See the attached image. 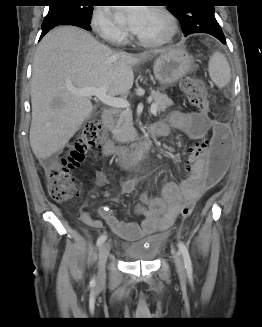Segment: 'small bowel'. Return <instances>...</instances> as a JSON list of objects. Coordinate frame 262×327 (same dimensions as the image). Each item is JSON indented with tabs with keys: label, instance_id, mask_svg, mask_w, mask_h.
Masks as SVG:
<instances>
[{
	"label": "small bowel",
	"instance_id": "c3829d8e",
	"mask_svg": "<svg viewBox=\"0 0 262 327\" xmlns=\"http://www.w3.org/2000/svg\"><path fill=\"white\" fill-rule=\"evenodd\" d=\"M214 124L220 123L213 121L206 113L176 112L171 115L169 124H156V132L158 136H167L169 127H173L183 132L191 140H206L210 135L217 134V131L213 130ZM204 159V153H189L188 159L177 162L181 170H186V175H189L187 178L180 182H166L158 196H153L149 189L143 192L134 208L135 214L142 218L140 223L120 221L107 206L99 209L100 219L92 218L88 212L84 211L81 213V220L95 229L103 228L105 222L115 235L126 240H134L166 230L181 214V206H184L187 200L196 202L207 189L208 185L204 184V175L207 169L205 162H199L192 168L194 160ZM96 181L98 184H104L106 181L104 174L98 172ZM133 190V182H126L123 185L125 193Z\"/></svg>",
	"mask_w": 262,
	"mask_h": 327
}]
</instances>
